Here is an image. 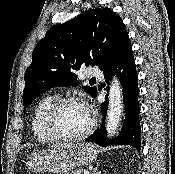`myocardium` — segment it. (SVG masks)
I'll return each instance as SVG.
<instances>
[{
  "mask_svg": "<svg viewBox=\"0 0 175 174\" xmlns=\"http://www.w3.org/2000/svg\"><path fill=\"white\" fill-rule=\"evenodd\" d=\"M73 103L80 104L88 110L89 116H90V122H89L88 127L83 132H81L80 134H77V135L70 136V135L63 134L58 130L57 116L63 107H65L68 104H73ZM45 126H46L48 133L55 140L64 141V142H74V141H79V140L86 138L87 136H89L93 132V130L96 126V118L93 115L90 106L88 105V103L84 99H82L81 97H78V96H68V97L58 99L49 108V110L46 114V118H45Z\"/></svg>",
  "mask_w": 175,
  "mask_h": 174,
  "instance_id": "1",
  "label": "myocardium"
}]
</instances>
